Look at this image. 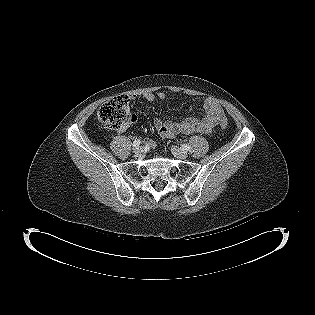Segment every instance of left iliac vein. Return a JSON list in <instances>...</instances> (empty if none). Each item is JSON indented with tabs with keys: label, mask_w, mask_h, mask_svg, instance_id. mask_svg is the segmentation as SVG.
<instances>
[{
	"label": "left iliac vein",
	"mask_w": 315,
	"mask_h": 315,
	"mask_svg": "<svg viewBox=\"0 0 315 315\" xmlns=\"http://www.w3.org/2000/svg\"><path fill=\"white\" fill-rule=\"evenodd\" d=\"M171 152L176 158H179V159L187 158V153L177 146H172Z\"/></svg>",
	"instance_id": "left-iliac-vein-1"
}]
</instances>
